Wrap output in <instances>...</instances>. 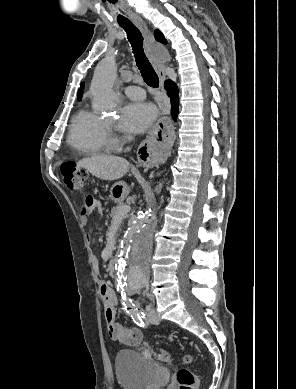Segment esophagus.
<instances>
[{"label":"esophagus","mask_w":296,"mask_h":389,"mask_svg":"<svg viewBox=\"0 0 296 389\" xmlns=\"http://www.w3.org/2000/svg\"><path fill=\"white\" fill-rule=\"evenodd\" d=\"M135 24L141 29L148 58L158 74L161 83L166 79L164 67L155 53V39L142 18H136ZM176 142V133L172 122L162 119L154 123L150 131L143 136L138 148L139 165L142 169H153L163 157H168L172 144Z\"/></svg>","instance_id":"1"}]
</instances>
